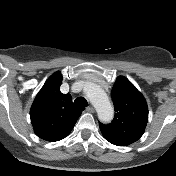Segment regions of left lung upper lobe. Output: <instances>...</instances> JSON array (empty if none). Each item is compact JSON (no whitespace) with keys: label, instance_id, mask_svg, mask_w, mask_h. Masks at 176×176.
<instances>
[{"label":"left lung upper lobe","instance_id":"5c2ea615","mask_svg":"<svg viewBox=\"0 0 176 176\" xmlns=\"http://www.w3.org/2000/svg\"><path fill=\"white\" fill-rule=\"evenodd\" d=\"M115 117L111 124H99L104 137L114 144L126 146L137 141L148 121V107L143 95L125 77L119 76L111 91Z\"/></svg>","mask_w":176,"mask_h":176}]
</instances>
